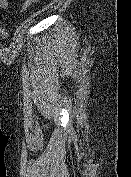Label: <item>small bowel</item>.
Wrapping results in <instances>:
<instances>
[{
    "mask_svg": "<svg viewBox=\"0 0 131 177\" xmlns=\"http://www.w3.org/2000/svg\"><path fill=\"white\" fill-rule=\"evenodd\" d=\"M39 2V0H24L21 6V11L26 10L31 5ZM11 5L10 0H0V8L6 9ZM0 33L5 35L7 33V30L5 27L0 26Z\"/></svg>",
    "mask_w": 131,
    "mask_h": 177,
    "instance_id": "1",
    "label": "small bowel"
}]
</instances>
